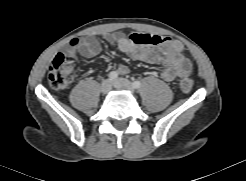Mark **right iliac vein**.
I'll return each mask as SVG.
<instances>
[{"label":"right iliac vein","mask_w":246,"mask_h":181,"mask_svg":"<svg viewBox=\"0 0 246 181\" xmlns=\"http://www.w3.org/2000/svg\"><path fill=\"white\" fill-rule=\"evenodd\" d=\"M112 89V83L110 80H104L101 84V92L107 94Z\"/></svg>","instance_id":"obj_1"}]
</instances>
